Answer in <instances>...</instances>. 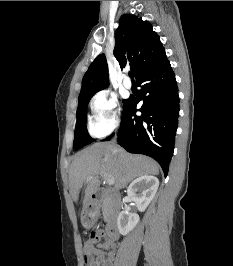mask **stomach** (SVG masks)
Here are the masks:
<instances>
[{"label":"stomach","mask_w":233,"mask_h":266,"mask_svg":"<svg viewBox=\"0 0 233 266\" xmlns=\"http://www.w3.org/2000/svg\"><path fill=\"white\" fill-rule=\"evenodd\" d=\"M94 217H95L94 213H90L89 211H85L83 213V217H82L83 224L89 225L92 222V220L94 219Z\"/></svg>","instance_id":"obj_1"}]
</instances>
